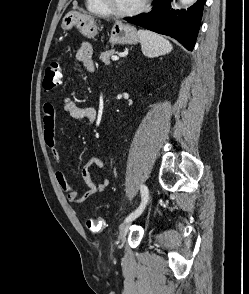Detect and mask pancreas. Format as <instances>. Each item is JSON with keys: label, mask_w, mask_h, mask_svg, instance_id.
<instances>
[{"label": "pancreas", "mask_w": 249, "mask_h": 294, "mask_svg": "<svg viewBox=\"0 0 249 294\" xmlns=\"http://www.w3.org/2000/svg\"><path fill=\"white\" fill-rule=\"evenodd\" d=\"M115 54H116L115 50L114 49H111L109 51L102 52L100 54V59L102 60V62L105 65H109L110 64V57H112Z\"/></svg>", "instance_id": "1"}]
</instances>
